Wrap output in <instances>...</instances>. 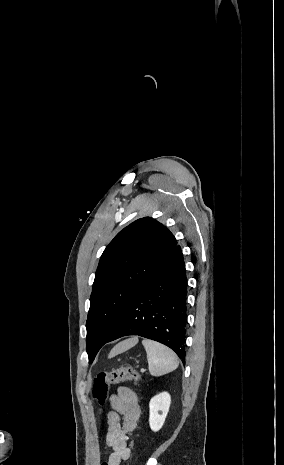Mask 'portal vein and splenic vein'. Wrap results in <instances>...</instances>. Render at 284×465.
<instances>
[{
    "label": "portal vein and splenic vein",
    "instance_id": "18ae733b",
    "mask_svg": "<svg viewBox=\"0 0 284 465\" xmlns=\"http://www.w3.org/2000/svg\"><path fill=\"white\" fill-rule=\"evenodd\" d=\"M145 369H141V373H144Z\"/></svg>",
    "mask_w": 284,
    "mask_h": 465
}]
</instances>
